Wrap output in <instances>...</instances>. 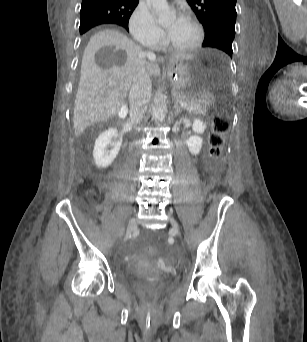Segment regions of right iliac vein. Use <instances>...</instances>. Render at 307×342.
Here are the masks:
<instances>
[{
    "instance_id": "obj_1",
    "label": "right iliac vein",
    "mask_w": 307,
    "mask_h": 342,
    "mask_svg": "<svg viewBox=\"0 0 307 342\" xmlns=\"http://www.w3.org/2000/svg\"><path fill=\"white\" fill-rule=\"evenodd\" d=\"M136 228H137L136 219L134 217H132L128 223L125 239H128L130 237V235L132 234L133 230Z\"/></svg>"
}]
</instances>
